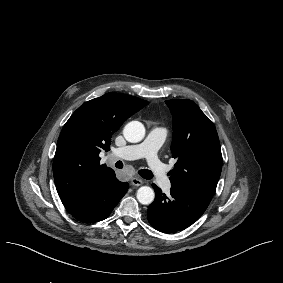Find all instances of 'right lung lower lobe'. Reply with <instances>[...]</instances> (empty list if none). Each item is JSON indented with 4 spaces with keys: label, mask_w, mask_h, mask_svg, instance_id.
Here are the masks:
<instances>
[{
    "label": "right lung lower lobe",
    "mask_w": 283,
    "mask_h": 283,
    "mask_svg": "<svg viewBox=\"0 0 283 283\" xmlns=\"http://www.w3.org/2000/svg\"><path fill=\"white\" fill-rule=\"evenodd\" d=\"M129 188L120 182L113 171L106 181L83 198L64 204L66 210L83 222H97L107 218Z\"/></svg>",
    "instance_id": "1"
}]
</instances>
